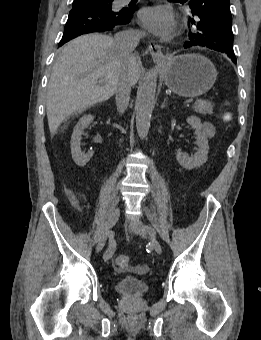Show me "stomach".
<instances>
[{
	"label": "stomach",
	"mask_w": 261,
	"mask_h": 340,
	"mask_svg": "<svg viewBox=\"0 0 261 340\" xmlns=\"http://www.w3.org/2000/svg\"><path fill=\"white\" fill-rule=\"evenodd\" d=\"M167 87L182 97H197L208 92L217 78L213 63L198 54L171 57L161 64Z\"/></svg>",
	"instance_id": "stomach-1"
}]
</instances>
